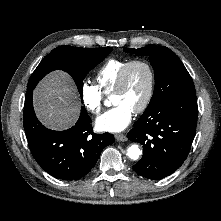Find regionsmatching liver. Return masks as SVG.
<instances>
[{
	"instance_id": "1",
	"label": "liver",
	"mask_w": 221,
	"mask_h": 221,
	"mask_svg": "<svg viewBox=\"0 0 221 221\" xmlns=\"http://www.w3.org/2000/svg\"><path fill=\"white\" fill-rule=\"evenodd\" d=\"M71 77L61 71L48 74L34 90L33 103L38 119L48 128L64 130L79 117V105Z\"/></svg>"
}]
</instances>
